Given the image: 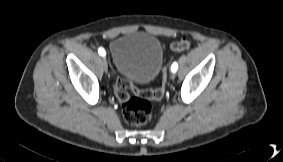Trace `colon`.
Returning <instances> with one entry per match:
<instances>
[{
  "label": "colon",
  "instance_id": "5ec220e1",
  "mask_svg": "<svg viewBox=\"0 0 283 162\" xmlns=\"http://www.w3.org/2000/svg\"><path fill=\"white\" fill-rule=\"evenodd\" d=\"M191 43L187 38L171 44L173 51H184L189 49ZM165 67L162 69L160 85L155 89L137 90L127 79L118 78L115 82V93L122 103L123 117L126 123L132 126H144L153 117V101L160 100L164 95ZM130 92L134 93L131 96Z\"/></svg>",
  "mask_w": 283,
  "mask_h": 162
}]
</instances>
